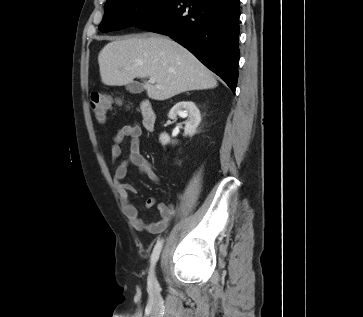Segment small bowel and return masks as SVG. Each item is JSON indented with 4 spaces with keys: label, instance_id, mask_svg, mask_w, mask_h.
<instances>
[{
    "label": "small bowel",
    "instance_id": "small-bowel-1",
    "mask_svg": "<svg viewBox=\"0 0 363 317\" xmlns=\"http://www.w3.org/2000/svg\"><path fill=\"white\" fill-rule=\"evenodd\" d=\"M142 128L138 124H127L122 126L113 137L111 147L112 157H118L121 153V146L126 138H130L127 149V157L115 168L114 179L118 184L120 199L123 205L124 213L133 227L139 230H145L150 233L163 232L171 222L176 213V208L172 204H159V220L153 223H146L139 214L138 209L131 203L130 194L136 192V188L129 183H122L126 177L128 168L133 165L138 170L147 175L153 181L158 182L159 176L151 163L142 155L140 151V139ZM156 199L150 197L146 201V207L155 206Z\"/></svg>",
    "mask_w": 363,
    "mask_h": 317
}]
</instances>
